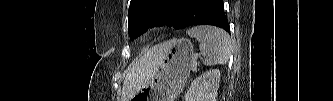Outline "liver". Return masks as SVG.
I'll use <instances>...</instances> for the list:
<instances>
[{
    "instance_id": "liver-1",
    "label": "liver",
    "mask_w": 333,
    "mask_h": 101,
    "mask_svg": "<svg viewBox=\"0 0 333 101\" xmlns=\"http://www.w3.org/2000/svg\"><path fill=\"white\" fill-rule=\"evenodd\" d=\"M166 49V42L156 45L136 61L125 78L122 101H130L134 95L149 83L158 70Z\"/></svg>"
}]
</instances>
